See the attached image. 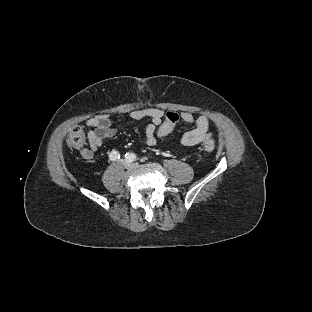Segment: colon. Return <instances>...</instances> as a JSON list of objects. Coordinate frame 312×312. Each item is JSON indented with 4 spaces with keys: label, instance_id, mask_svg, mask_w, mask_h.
<instances>
[{
    "label": "colon",
    "instance_id": "colon-1",
    "mask_svg": "<svg viewBox=\"0 0 312 312\" xmlns=\"http://www.w3.org/2000/svg\"><path fill=\"white\" fill-rule=\"evenodd\" d=\"M164 115L167 117V119H165L164 123H162L158 128V133L160 135L170 134L171 130H174L176 120L179 121L182 118L181 115L170 114L168 111L165 112ZM66 138L68 139V143L71 149L80 151L85 159H88L91 156L90 151L86 149L85 138L81 128L78 126H71L66 131ZM203 150L206 152H213L215 150L214 141L211 139H206L203 143Z\"/></svg>",
    "mask_w": 312,
    "mask_h": 312
}]
</instances>
